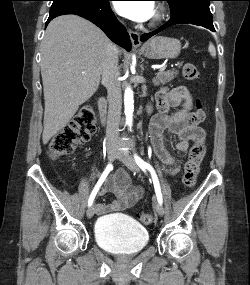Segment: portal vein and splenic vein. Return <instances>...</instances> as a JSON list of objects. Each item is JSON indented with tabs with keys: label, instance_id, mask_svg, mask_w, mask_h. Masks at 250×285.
<instances>
[{
	"label": "portal vein and splenic vein",
	"instance_id": "portal-vein-and-splenic-vein-1",
	"mask_svg": "<svg viewBox=\"0 0 250 285\" xmlns=\"http://www.w3.org/2000/svg\"><path fill=\"white\" fill-rule=\"evenodd\" d=\"M165 69H166V66L163 65V66L160 67L159 72H162V71H164Z\"/></svg>",
	"mask_w": 250,
	"mask_h": 285
}]
</instances>
